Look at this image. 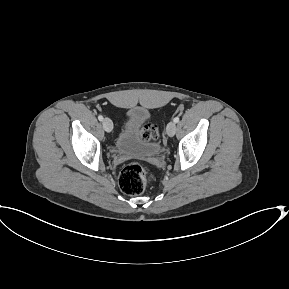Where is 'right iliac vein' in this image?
Masks as SVG:
<instances>
[{
    "label": "right iliac vein",
    "instance_id": "obj_1",
    "mask_svg": "<svg viewBox=\"0 0 289 289\" xmlns=\"http://www.w3.org/2000/svg\"><path fill=\"white\" fill-rule=\"evenodd\" d=\"M102 125L106 132H111L113 130V123L109 118H105Z\"/></svg>",
    "mask_w": 289,
    "mask_h": 289
}]
</instances>
